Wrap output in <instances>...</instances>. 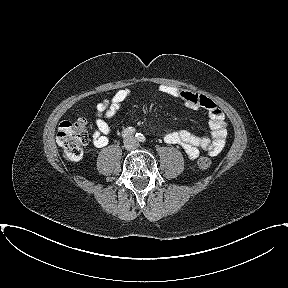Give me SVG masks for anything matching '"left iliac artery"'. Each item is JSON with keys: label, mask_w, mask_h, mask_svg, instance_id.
Here are the masks:
<instances>
[{"label": "left iliac artery", "mask_w": 288, "mask_h": 288, "mask_svg": "<svg viewBox=\"0 0 288 288\" xmlns=\"http://www.w3.org/2000/svg\"><path fill=\"white\" fill-rule=\"evenodd\" d=\"M136 138H137V140L138 141H140V142H145V137H144V135L143 134H141V133H137L136 134Z\"/></svg>", "instance_id": "obj_1"}]
</instances>
